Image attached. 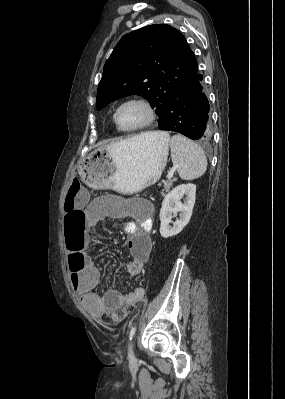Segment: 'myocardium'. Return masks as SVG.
<instances>
[{
    "instance_id": "1",
    "label": "myocardium",
    "mask_w": 285,
    "mask_h": 399,
    "mask_svg": "<svg viewBox=\"0 0 285 399\" xmlns=\"http://www.w3.org/2000/svg\"><path fill=\"white\" fill-rule=\"evenodd\" d=\"M134 103L135 104H140L146 109L147 115H148L147 119L143 123H141L139 125H136L134 127L124 128V127H122L120 125L119 120H118L119 112L124 106H126L128 104H134ZM113 118H114V122H115L117 128L120 131L135 132V131H140V130H143V129L147 128L148 126H150L155 121V119H156V110H155L154 106L152 105V103L149 100H147V99H145L143 97H133V98H129V99L125 100L124 102H122L117 107V109L115 110Z\"/></svg>"
}]
</instances>
